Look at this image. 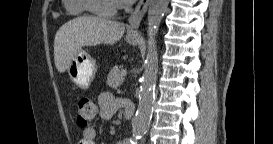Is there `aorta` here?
Segmentation results:
<instances>
[{"mask_svg":"<svg viewBox=\"0 0 273 144\" xmlns=\"http://www.w3.org/2000/svg\"><path fill=\"white\" fill-rule=\"evenodd\" d=\"M168 4L169 0H150L147 17V56L145 61V71L141 79L139 90L138 108L132 121V137L129 140L131 144H134V142H137L146 134L150 124L158 71L156 35Z\"/></svg>","mask_w":273,"mask_h":144,"instance_id":"1","label":"aorta"}]
</instances>
